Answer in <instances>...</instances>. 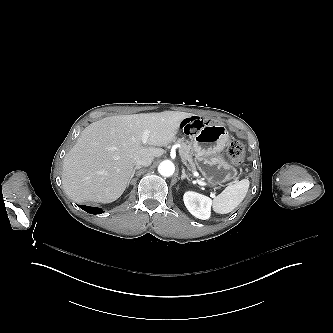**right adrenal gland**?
Instances as JSON below:
<instances>
[{
    "instance_id": "right-adrenal-gland-1",
    "label": "right adrenal gland",
    "mask_w": 333,
    "mask_h": 333,
    "mask_svg": "<svg viewBox=\"0 0 333 333\" xmlns=\"http://www.w3.org/2000/svg\"><path fill=\"white\" fill-rule=\"evenodd\" d=\"M140 168H141V166H136V167L134 168V170H133V172H132V175H131V177H130L128 183H127V187L129 186L130 181H131V179L133 178V176H134L136 170H138V169H140Z\"/></svg>"
}]
</instances>
